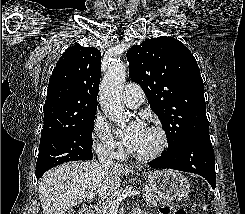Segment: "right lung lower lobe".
Returning <instances> with one entry per match:
<instances>
[{
	"instance_id": "1",
	"label": "right lung lower lobe",
	"mask_w": 245,
	"mask_h": 214,
	"mask_svg": "<svg viewBox=\"0 0 245 214\" xmlns=\"http://www.w3.org/2000/svg\"><path fill=\"white\" fill-rule=\"evenodd\" d=\"M44 173L36 174V178L39 179Z\"/></svg>"
}]
</instances>
